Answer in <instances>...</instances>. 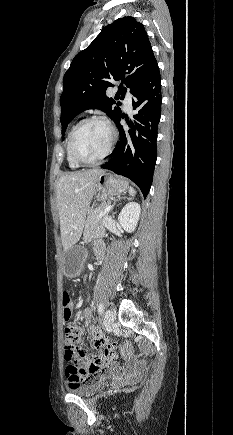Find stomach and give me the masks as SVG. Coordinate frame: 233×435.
Returning <instances> with one entry per match:
<instances>
[{
    "instance_id": "stomach-1",
    "label": "stomach",
    "mask_w": 233,
    "mask_h": 435,
    "mask_svg": "<svg viewBox=\"0 0 233 435\" xmlns=\"http://www.w3.org/2000/svg\"><path fill=\"white\" fill-rule=\"evenodd\" d=\"M129 187L126 180L111 173L102 172L98 175L95 184V197L99 202H105L111 196L125 192ZM86 251L82 246H72L62 254L63 271L68 278L79 277L83 270Z\"/></svg>"
}]
</instances>
